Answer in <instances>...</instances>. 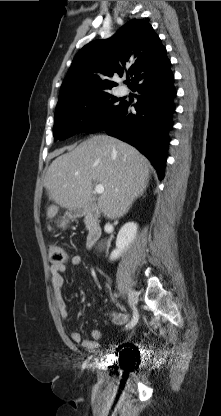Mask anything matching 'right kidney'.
I'll return each mask as SVG.
<instances>
[{
  "mask_svg": "<svg viewBox=\"0 0 221 416\" xmlns=\"http://www.w3.org/2000/svg\"><path fill=\"white\" fill-rule=\"evenodd\" d=\"M137 228L138 225L134 222H128L121 227L116 239V248L111 252L110 260L118 259L129 248L136 238Z\"/></svg>",
  "mask_w": 221,
  "mask_h": 416,
  "instance_id": "obj_1",
  "label": "right kidney"
}]
</instances>
